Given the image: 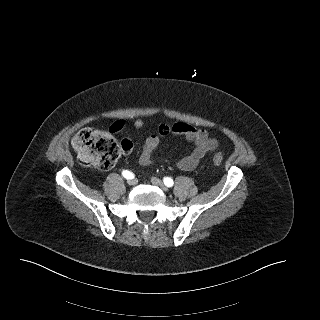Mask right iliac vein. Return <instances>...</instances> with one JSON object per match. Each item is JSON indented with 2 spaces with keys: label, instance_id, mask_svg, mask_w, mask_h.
<instances>
[{
  "label": "right iliac vein",
  "instance_id": "63e3f726",
  "mask_svg": "<svg viewBox=\"0 0 320 320\" xmlns=\"http://www.w3.org/2000/svg\"><path fill=\"white\" fill-rule=\"evenodd\" d=\"M127 183H128L130 186H134V185L137 184V180H136V179H130V180H128Z\"/></svg>",
  "mask_w": 320,
  "mask_h": 320
}]
</instances>
